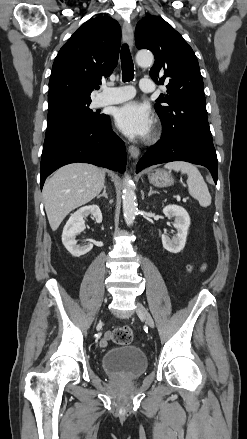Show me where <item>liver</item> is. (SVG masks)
<instances>
[{"label":"liver","instance_id":"liver-1","mask_svg":"<svg viewBox=\"0 0 247 439\" xmlns=\"http://www.w3.org/2000/svg\"><path fill=\"white\" fill-rule=\"evenodd\" d=\"M105 170L88 163H72L58 169L43 188L50 227L56 231L74 209L90 202L104 187Z\"/></svg>","mask_w":247,"mask_h":439}]
</instances>
